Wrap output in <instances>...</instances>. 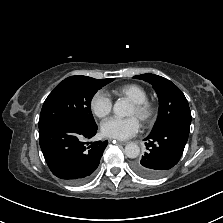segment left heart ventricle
<instances>
[{
	"instance_id": "obj_1",
	"label": "left heart ventricle",
	"mask_w": 223,
	"mask_h": 223,
	"mask_svg": "<svg viewBox=\"0 0 223 223\" xmlns=\"http://www.w3.org/2000/svg\"><path fill=\"white\" fill-rule=\"evenodd\" d=\"M129 115L130 116H137L136 114V109L134 108V106L132 105L130 111H129Z\"/></svg>"
}]
</instances>
